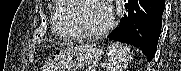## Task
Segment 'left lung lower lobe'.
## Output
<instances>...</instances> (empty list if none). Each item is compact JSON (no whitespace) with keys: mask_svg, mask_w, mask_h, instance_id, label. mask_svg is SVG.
Instances as JSON below:
<instances>
[{"mask_svg":"<svg viewBox=\"0 0 181 71\" xmlns=\"http://www.w3.org/2000/svg\"><path fill=\"white\" fill-rule=\"evenodd\" d=\"M165 0H126L120 25L108 36L141 49L152 60L161 32Z\"/></svg>","mask_w":181,"mask_h":71,"instance_id":"1","label":"left lung lower lobe"}]
</instances>
